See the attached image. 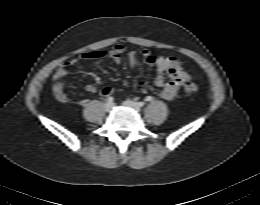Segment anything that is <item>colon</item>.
I'll list each match as a JSON object with an SVG mask.
<instances>
[{
	"instance_id": "5ec220e1",
	"label": "colon",
	"mask_w": 260,
	"mask_h": 205,
	"mask_svg": "<svg viewBox=\"0 0 260 205\" xmlns=\"http://www.w3.org/2000/svg\"><path fill=\"white\" fill-rule=\"evenodd\" d=\"M184 90H185V92H187L189 94H196L199 91V87L194 82H187L184 85Z\"/></svg>"
}]
</instances>
